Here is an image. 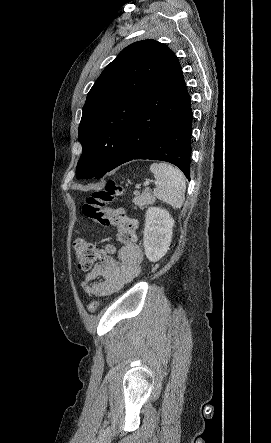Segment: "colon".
Returning <instances> with one entry per match:
<instances>
[{
    "mask_svg": "<svg viewBox=\"0 0 271 443\" xmlns=\"http://www.w3.org/2000/svg\"><path fill=\"white\" fill-rule=\"evenodd\" d=\"M120 192V185L114 180H108L103 189L94 191L86 199L82 206V212L94 224L102 227H114L117 230L118 241L127 245L136 240L137 222L129 217L123 209L109 207ZM74 250L77 266L83 271L89 270L94 262L102 256L96 244L82 238L75 240ZM99 306V301H91L88 311L95 313Z\"/></svg>",
    "mask_w": 271,
    "mask_h": 443,
    "instance_id": "obj_1",
    "label": "colon"
}]
</instances>
